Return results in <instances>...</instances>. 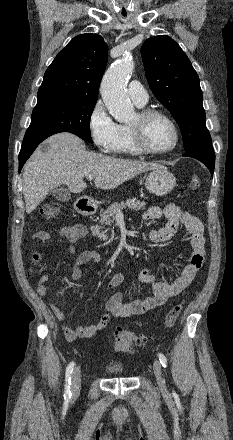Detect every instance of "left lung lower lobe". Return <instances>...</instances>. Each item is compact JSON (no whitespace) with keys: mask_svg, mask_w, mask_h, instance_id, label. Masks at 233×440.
<instances>
[{"mask_svg":"<svg viewBox=\"0 0 233 440\" xmlns=\"http://www.w3.org/2000/svg\"><path fill=\"white\" fill-rule=\"evenodd\" d=\"M183 156L195 158L204 163L213 175L215 166V154L212 145L199 147L190 151H186Z\"/></svg>","mask_w":233,"mask_h":440,"instance_id":"left-lung-lower-lobe-1","label":"left lung lower lobe"}]
</instances>
